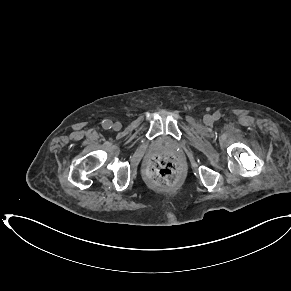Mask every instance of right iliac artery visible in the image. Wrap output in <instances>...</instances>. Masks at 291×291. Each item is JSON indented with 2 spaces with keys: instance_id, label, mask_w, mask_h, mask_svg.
Wrapping results in <instances>:
<instances>
[{
  "instance_id": "82829eb1",
  "label": "right iliac artery",
  "mask_w": 291,
  "mask_h": 291,
  "mask_svg": "<svg viewBox=\"0 0 291 291\" xmlns=\"http://www.w3.org/2000/svg\"><path fill=\"white\" fill-rule=\"evenodd\" d=\"M102 126H103L104 129H111L112 126H113V123L110 120H104L102 122Z\"/></svg>"
}]
</instances>
